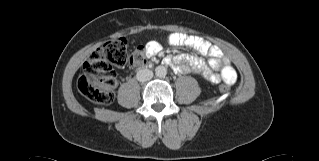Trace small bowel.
<instances>
[{
    "mask_svg": "<svg viewBox=\"0 0 319 161\" xmlns=\"http://www.w3.org/2000/svg\"><path fill=\"white\" fill-rule=\"evenodd\" d=\"M168 40L173 45H184L193 48L203 56H210L208 61L209 67L205 61L195 55L180 53L173 58H167L166 62L171 65L174 71L179 73H193L204 77L212 83L224 81L231 84L236 79V71L229 63V60L223 58L221 49L201 37L189 35L186 33L173 32L168 35ZM159 45L160 50L154 53V48ZM162 46L158 41H149L146 44L148 55H162ZM223 62V65H222ZM220 70V73L216 71Z\"/></svg>",
    "mask_w": 319,
    "mask_h": 161,
    "instance_id": "obj_1",
    "label": "small bowel"
}]
</instances>
